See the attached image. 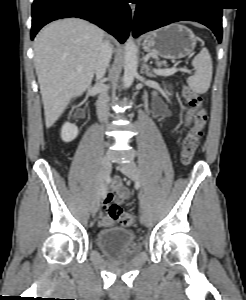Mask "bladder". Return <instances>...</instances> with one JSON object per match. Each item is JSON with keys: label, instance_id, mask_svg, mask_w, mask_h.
<instances>
[{"label": "bladder", "instance_id": "1", "mask_svg": "<svg viewBox=\"0 0 246 300\" xmlns=\"http://www.w3.org/2000/svg\"><path fill=\"white\" fill-rule=\"evenodd\" d=\"M96 245L108 257L122 261L139 251L138 240L133 231L122 227H110L96 234Z\"/></svg>", "mask_w": 246, "mask_h": 300}]
</instances>
